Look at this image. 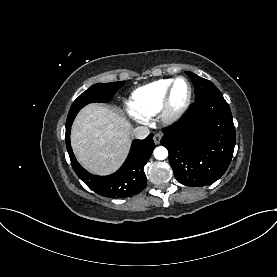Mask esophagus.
Returning a JSON list of instances; mask_svg holds the SVG:
<instances>
[{
    "label": "esophagus",
    "instance_id": "1",
    "mask_svg": "<svg viewBox=\"0 0 277 277\" xmlns=\"http://www.w3.org/2000/svg\"><path fill=\"white\" fill-rule=\"evenodd\" d=\"M161 137H162V135L160 134V133H156L155 135H154V143L156 144V145H158L159 143H160V140H161Z\"/></svg>",
    "mask_w": 277,
    "mask_h": 277
}]
</instances>
